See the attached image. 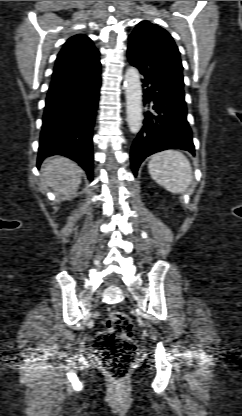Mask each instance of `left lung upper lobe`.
<instances>
[{
    "label": "left lung upper lobe",
    "mask_w": 242,
    "mask_h": 416,
    "mask_svg": "<svg viewBox=\"0 0 242 416\" xmlns=\"http://www.w3.org/2000/svg\"><path fill=\"white\" fill-rule=\"evenodd\" d=\"M129 40L135 41L140 46L149 48L170 66L174 75L183 83L182 63L180 52L170 34L163 28L148 21L140 22L131 35Z\"/></svg>",
    "instance_id": "5c2ea615"
}]
</instances>
